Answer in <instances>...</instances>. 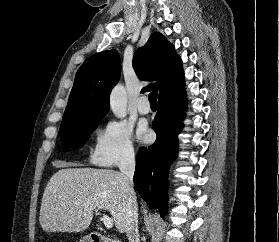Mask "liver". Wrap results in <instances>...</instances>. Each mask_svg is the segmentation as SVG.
Wrapping results in <instances>:
<instances>
[{"instance_id": "1", "label": "liver", "mask_w": 279, "mask_h": 242, "mask_svg": "<svg viewBox=\"0 0 279 242\" xmlns=\"http://www.w3.org/2000/svg\"><path fill=\"white\" fill-rule=\"evenodd\" d=\"M62 168L49 180L42 197L39 222L46 232H82L94 209L107 210L120 233L125 232L127 178L109 169Z\"/></svg>"}]
</instances>
